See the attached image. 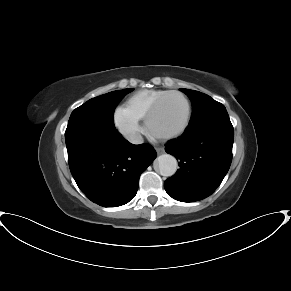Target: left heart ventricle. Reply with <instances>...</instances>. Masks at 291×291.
<instances>
[{"label": "left heart ventricle", "mask_w": 291, "mask_h": 291, "mask_svg": "<svg viewBox=\"0 0 291 291\" xmlns=\"http://www.w3.org/2000/svg\"><path fill=\"white\" fill-rule=\"evenodd\" d=\"M187 107L184 99L168 97L152 119L151 128L156 134H168L179 129L186 120Z\"/></svg>", "instance_id": "b2bd125f"}]
</instances>
